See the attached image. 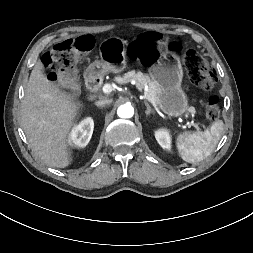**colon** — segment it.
<instances>
[{
	"instance_id": "colon-1",
	"label": "colon",
	"mask_w": 253,
	"mask_h": 253,
	"mask_svg": "<svg viewBox=\"0 0 253 253\" xmlns=\"http://www.w3.org/2000/svg\"><path fill=\"white\" fill-rule=\"evenodd\" d=\"M91 47L92 40L89 37H79L55 44L43 56V63L50 70L49 78L53 81L62 80L71 91H74L76 85L71 70ZM170 48L178 50L179 45L172 42ZM129 54L131 58L139 60L143 65H149L155 58L154 50L140 39L130 44ZM183 64L187 78L194 86L204 90L213 88L217 79L216 74L197 51L187 50L183 56ZM204 111L208 120L218 119L220 116L218 97H209L205 102Z\"/></svg>"
}]
</instances>
